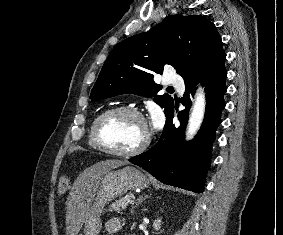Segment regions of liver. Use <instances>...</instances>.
I'll return each mask as SVG.
<instances>
[{
  "label": "liver",
  "instance_id": "liver-1",
  "mask_svg": "<svg viewBox=\"0 0 283 235\" xmlns=\"http://www.w3.org/2000/svg\"><path fill=\"white\" fill-rule=\"evenodd\" d=\"M126 164L127 162L121 160L101 161L85 169L77 177L67 199L66 230L68 235H77L82 227L103 175Z\"/></svg>",
  "mask_w": 283,
  "mask_h": 235
}]
</instances>
